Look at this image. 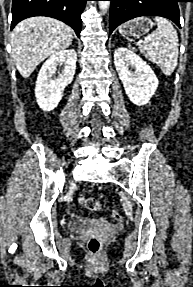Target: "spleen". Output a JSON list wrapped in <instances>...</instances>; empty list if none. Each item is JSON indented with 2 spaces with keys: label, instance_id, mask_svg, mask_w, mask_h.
Listing matches in <instances>:
<instances>
[{
  "label": "spleen",
  "instance_id": "3e777b00",
  "mask_svg": "<svg viewBox=\"0 0 193 287\" xmlns=\"http://www.w3.org/2000/svg\"><path fill=\"white\" fill-rule=\"evenodd\" d=\"M157 29L140 41V52L156 63L163 74L169 76L173 73L178 62L179 40L176 29L165 18L156 17Z\"/></svg>",
  "mask_w": 193,
  "mask_h": 287
}]
</instances>
